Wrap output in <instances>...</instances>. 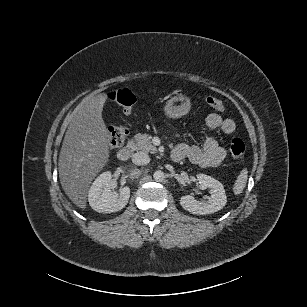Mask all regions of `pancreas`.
Here are the masks:
<instances>
[{"label": "pancreas", "mask_w": 307, "mask_h": 307, "mask_svg": "<svg viewBox=\"0 0 307 307\" xmlns=\"http://www.w3.org/2000/svg\"><path fill=\"white\" fill-rule=\"evenodd\" d=\"M133 141L135 142L137 149L144 153H156L157 148L152 144L151 138L148 134L138 133L134 136Z\"/></svg>", "instance_id": "cf45deb5"}]
</instances>
